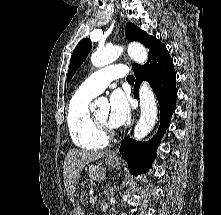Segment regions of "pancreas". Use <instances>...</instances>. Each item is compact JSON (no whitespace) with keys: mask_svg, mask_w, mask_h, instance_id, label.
I'll list each match as a JSON object with an SVG mask.
<instances>
[{"mask_svg":"<svg viewBox=\"0 0 221 215\" xmlns=\"http://www.w3.org/2000/svg\"><path fill=\"white\" fill-rule=\"evenodd\" d=\"M93 189V184H89L86 186V189L82 191L80 201L83 204L89 203V195L88 192Z\"/></svg>","mask_w":221,"mask_h":215,"instance_id":"1","label":"pancreas"}]
</instances>
